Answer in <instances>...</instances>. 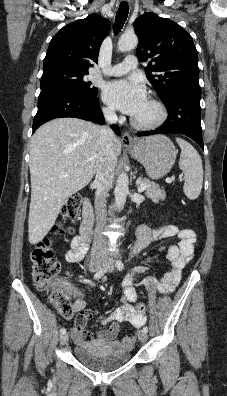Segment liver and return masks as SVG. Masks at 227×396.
I'll list each match as a JSON object with an SVG mask.
<instances>
[{"mask_svg": "<svg viewBox=\"0 0 227 396\" xmlns=\"http://www.w3.org/2000/svg\"><path fill=\"white\" fill-rule=\"evenodd\" d=\"M99 129L91 122L64 117L45 123L32 136L28 217L31 244L48 234L65 200L92 180L101 152ZM112 150L117 159L121 143L116 137Z\"/></svg>", "mask_w": 227, "mask_h": 396, "instance_id": "obj_1", "label": "liver"}]
</instances>
